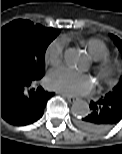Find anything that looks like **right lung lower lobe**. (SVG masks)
<instances>
[{
	"instance_id": "1",
	"label": "right lung lower lobe",
	"mask_w": 122,
	"mask_h": 154,
	"mask_svg": "<svg viewBox=\"0 0 122 154\" xmlns=\"http://www.w3.org/2000/svg\"><path fill=\"white\" fill-rule=\"evenodd\" d=\"M34 79L19 64L1 61V117L16 126L31 124L42 117L52 96L37 87Z\"/></svg>"
}]
</instances>
